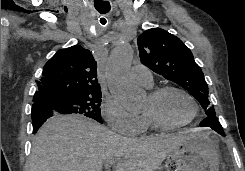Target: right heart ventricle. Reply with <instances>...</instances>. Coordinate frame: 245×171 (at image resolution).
Listing matches in <instances>:
<instances>
[{"mask_svg": "<svg viewBox=\"0 0 245 171\" xmlns=\"http://www.w3.org/2000/svg\"><path fill=\"white\" fill-rule=\"evenodd\" d=\"M142 119H143V124H144L143 131L147 130L148 128L153 127V125L151 124V122L149 121V119L145 115H142Z\"/></svg>", "mask_w": 245, "mask_h": 171, "instance_id": "e07e8e85", "label": "right heart ventricle"}]
</instances>
